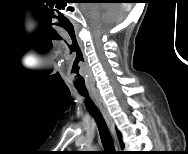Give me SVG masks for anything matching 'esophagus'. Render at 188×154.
<instances>
[{"label": "esophagus", "mask_w": 188, "mask_h": 154, "mask_svg": "<svg viewBox=\"0 0 188 154\" xmlns=\"http://www.w3.org/2000/svg\"><path fill=\"white\" fill-rule=\"evenodd\" d=\"M92 95L95 97L96 99V102L103 114V117L104 119L106 120L107 122V125L113 135V138H114V144L116 146V149H120V143H119V140H118V137H117V134H116V131H115V127H114V123H113V120L107 110V107L106 105L104 104L103 100L99 97V95L97 94L96 91H91Z\"/></svg>", "instance_id": "obj_1"}]
</instances>
